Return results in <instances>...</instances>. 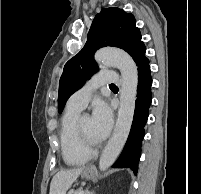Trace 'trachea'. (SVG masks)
I'll list each match as a JSON object with an SVG mask.
<instances>
[{
	"instance_id": "3493384b",
	"label": "trachea",
	"mask_w": 201,
	"mask_h": 194,
	"mask_svg": "<svg viewBox=\"0 0 201 194\" xmlns=\"http://www.w3.org/2000/svg\"><path fill=\"white\" fill-rule=\"evenodd\" d=\"M110 86H111V87H115V85H114V84H110Z\"/></svg>"
}]
</instances>
